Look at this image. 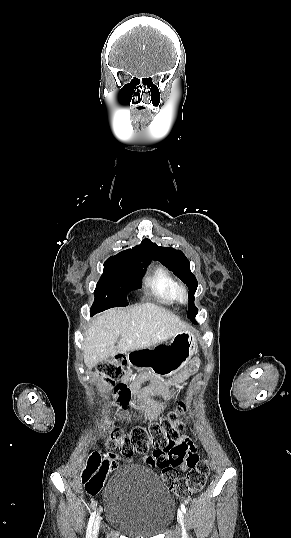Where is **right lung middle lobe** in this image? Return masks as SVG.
Here are the masks:
<instances>
[{
  "mask_svg": "<svg viewBox=\"0 0 291 538\" xmlns=\"http://www.w3.org/2000/svg\"><path fill=\"white\" fill-rule=\"evenodd\" d=\"M149 260L111 258L104 263V272L94 291L90 314L112 307L128 305L127 293L140 288V279L146 272Z\"/></svg>",
  "mask_w": 291,
  "mask_h": 538,
  "instance_id": "dd1d6c3e",
  "label": "right lung middle lobe"
}]
</instances>
